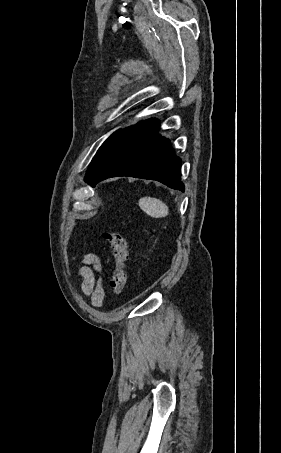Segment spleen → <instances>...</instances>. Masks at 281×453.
I'll list each match as a JSON object with an SVG mask.
<instances>
[{
    "instance_id": "spleen-1",
    "label": "spleen",
    "mask_w": 281,
    "mask_h": 453,
    "mask_svg": "<svg viewBox=\"0 0 281 453\" xmlns=\"http://www.w3.org/2000/svg\"><path fill=\"white\" fill-rule=\"evenodd\" d=\"M139 206L150 214V216H154V218H160V216H167L168 214V206L159 198H151V196H142L139 200Z\"/></svg>"
}]
</instances>
